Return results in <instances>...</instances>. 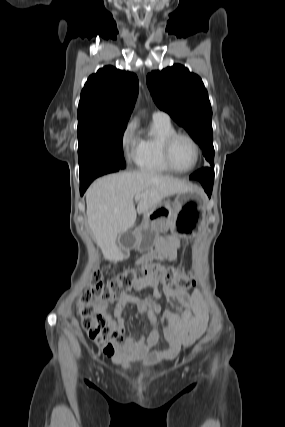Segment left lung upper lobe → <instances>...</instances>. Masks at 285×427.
Segmentation results:
<instances>
[{"instance_id":"obj_1","label":"left lung upper lobe","mask_w":285,"mask_h":427,"mask_svg":"<svg viewBox=\"0 0 285 427\" xmlns=\"http://www.w3.org/2000/svg\"><path fill=\"white\" fill-rule=\"evenodd\" d=\"M147 85L157 106L187 130L212 164V109L201 78L176 64L152 71L147 75Z\"/></svg>"}]
</instances>
